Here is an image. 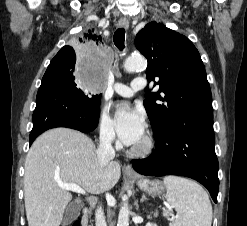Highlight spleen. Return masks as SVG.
Here are the masks:
<instances>
[{"mask_svg":"<svg viewBox=\"0 0 247 226\" xmlns=\"http://www.w3.org/2000/svg\"><path fill=\"white\" fill-rule=\"evenodd\" d=\"M166 199L178 214L170 226H211L212 206L206 191L196 182L177 176L164 178ZM164 216L170 215L163 209Z\"/></svg>","mask_w":247,"mask_h":226,"instance_id":"1","label":"spleen"}]
</instances>
